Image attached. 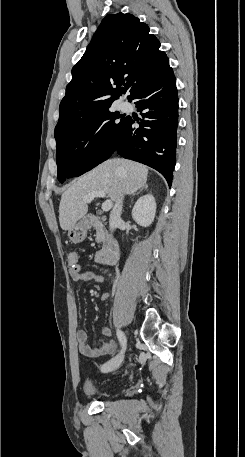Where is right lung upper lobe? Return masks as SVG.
<instances>
[{"instance_id": "1", "label": "right lung upper lobe", "mask_w": 245, "mask_h": 457, "mask_svg": "<svg viewBox=\"0 0 245 457\" xmlns=\"http://www.w3.org/2000/svg\"><path fill=\"white\" fill-rule=\"evenodd\" d=\"M149 31L147 24L128 13L103 18L72 69L56 128L110 106L124 87L131 96L142 83L171 68L159 50V40Z\"/></svg>"}]
</instances>
